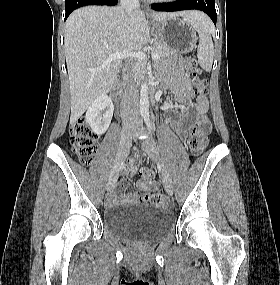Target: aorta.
<instances>
[{
  "instance_id": "obj_1",
  "label": "aorta",
  "mask_w": 280,
  "mask_h": 285,
  "mask_svg": "<svg viewBox=\"0 0 280 285\" xmlns=\"http://www.w3.org/2000/svg\"><path fill=\"white\" fill-rule=\"evenodd\" d=\"M140 115L144 118L149 115L148 85L143 83L140 89Z\"/></svg>"
}]
</instances>
